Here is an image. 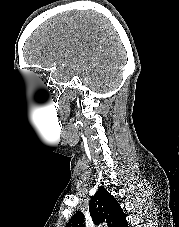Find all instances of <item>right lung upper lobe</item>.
Returning <instances> with one entry per match:
<instances>
[{
	"label": "right lung upper lobe",
	"instance_id": "1",
	"mask_svg": "<svg viewBox=\"0 0 179 227\" xmlns=\"http://www.w3.org/2000/svg\"><path fill=\"white\" fill-rule=\"evenodd\" d=\"M89 210L95 224L105 222L108 227H128L120 204L104 187H100L92 196ZM66 227H85L83 213L78 211L71 217Z\"/></svg>",
	"mask_w": 179,
	"mask_h": 227
}]
</instances>
